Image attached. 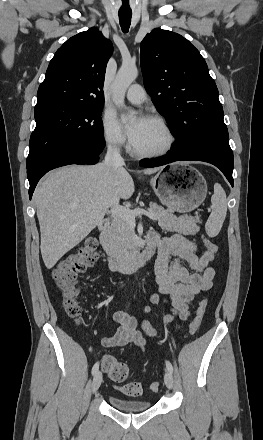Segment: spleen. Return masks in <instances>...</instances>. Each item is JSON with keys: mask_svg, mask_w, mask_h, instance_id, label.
Segmentation results:
<instances>
[{"mask_svg": "<svg viewBox=\"0 0 263 440\" xmlns=\"http://www.w3.org/2000/svg\"><path fill=\"white\" fill-rule=\"evenodd\" d=\"M211 203L212 212L205 224V230L209 237H215L219 234L227 213L226 193L219 183L214 185Z\"/></svg>", "mask_w": 263, "mask_h": 440, "instance_id": "spleen-1", "label": "spleen"}]
</instances>
